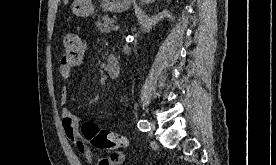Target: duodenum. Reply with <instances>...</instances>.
<instances>
[{"label": "duodenum", "instance_id": "1", "mask_svg": "<svg viewBox=\"0 0 276 165\" xmlns=\"http://www.w3.org/2000/svg\"><path fill=\"white\" fill-rule=\"evenodd\" d=\"M107 72L111 78H115L120 73V63L115 56L109 57L107 61Z\"/></svg>", "mask_w": 276, "mask_h": 165}]
</instances>
